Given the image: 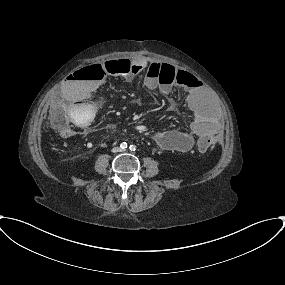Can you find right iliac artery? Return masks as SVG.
Wrapping results in <instances>:
<instances>
[{
  "label": "right iliac artery",
  "mask_w": 285,
  "mask_h": 285,
  "mask_svg": "<svg viewBox=\"0 0 285 285\" xmlns=\"http://www.w3.org/2000/svg\"><path fill=\"white\" fill-rule=\"evenodd\" d=\"M120 147H121L122 149H126V148L128 147V145H127L126 142H123V143L120 144Z\"/></svg>",
  "instance_id": "1"
}]
</instances>
